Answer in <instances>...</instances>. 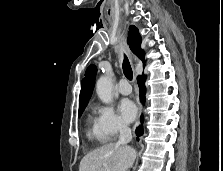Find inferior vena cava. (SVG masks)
I'll use <instances>...</instances> for the list:
<instances>
[{
	"mask_svg": "<svg viewBox=\"0 0 223 171\" xmlns=\"http://www.w3.org/2000/svg\"><path fill=\"white\" fill-rule=\"evenodd\" d=\"M132 140L131 129L126 124L120 125V135L117 142L118 145L127 146V144Z\"/></svg>",
	"mask_w": 223,
	"mask_h": 171,
	"instance_id": "1",
	"label": "inferior vena cava"
}]
</instances>
